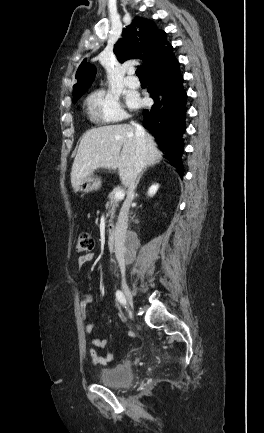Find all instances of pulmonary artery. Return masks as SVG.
I'll return each instance as SVG.
<instances>
[{
  "mask_svg": "<svg viewBox=\"0 0 264 433\" xmlns=\"http://www.w3.org/2000/svg\"><path fill=\"white\" fill-rule=\"evenodd\" d=\"M128 76L125 78V84L129 88H138L140 86L139 80L133 75V70L128 71Z\"/></svg>",
  "mask_w": 264,
  "mask_h": 433,
  "instance_id": "e3ab8cb5",
  "label": "pulmonary artery"
}]
</instances>
